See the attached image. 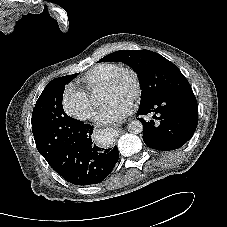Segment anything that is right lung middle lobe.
I'll use <instances>...</instances> for the list:
<instances>
[{"mask_svg":"<svg viewBox=\"0 0 227 227\" xmlns=\"http://www.w3.org/2000/svg\"><path fill=\"white\" fill-rule=\"evenodd\" d=\"M76 76L77 73L49 82L33 109L32 132L37 150L44 158L50 156L66 139L67 128L74 121L64 112L62 98L65 85Z\"/></svg>","mask_w":227,"mask_h":227,"instance_id":"right-lung-middle-lobe-1","label":"right lung middle lobe"}]
</instances>
